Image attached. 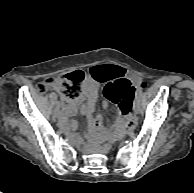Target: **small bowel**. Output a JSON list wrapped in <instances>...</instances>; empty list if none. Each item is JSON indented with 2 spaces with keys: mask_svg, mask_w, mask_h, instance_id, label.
I'll list each match as a JSON object with an SVG mask.
<instances>
[{
  "mask_svg": "<svg viewBox=\"0 0 194 193\" xmlns=\"http://www.w3.org/2000/svg\"><path fill=\"white\" fill-rule=\"evenodd\" d=\"M121 75V70L112 66H98L89 69L84 82L82 96L78 100L71 102H67L63 98L65 115L71 117L80 110L88 119L90 131H99L109 135L108 128L103 123L102 115L100 113L94 114L97 90L100 84L111 83ZM103 108L105 110L108 109L106 102L103 104ZM122 124H124L123 120L119 118L117 126L119 127ZM61 126L69 132L76 128V124L73 121H68L66 117L61 119Z\"/></svg>",
  "mask_w": 194,
  "mask_h": 193,
  "instance_id": "obj_1",
  "label": "small bowel"
}]
</instances>
